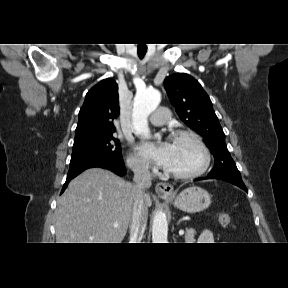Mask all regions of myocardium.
Masks as SVG:
<instances>
[{
	"mask_svg": "<svg viewBox=\"0 0 288 288\" xmlns=\"http://www.w3.org/2000/svg\"><path fill=\"white\" fill-rule=\"evenodd\" d=\"M171 137L172 139L187 138L191 140L201 152L202 163L198 168L192 171L175 172V171H170V170L165 169V173L177 179H191V178L198 177L202 175L203 173H205L210 166L211 154L207 145L201 138V136L192 130L180 129V130L173 131L171 133Z\"/></svg>",
	"mask_w": 288,
	"mask_h": 288,
	"instance_id": "1",
	"label": "myocardium"
}]
</instances>
